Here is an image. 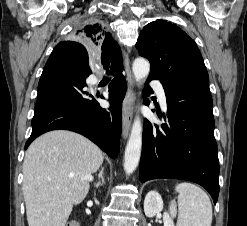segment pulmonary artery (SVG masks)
I'll use <instances>...</instances> for the list:
<instances>
[{
    "mask_svg": "<svg viewBox=\"0 0 247 226\" xmlns=\"http://www.w3.org/2000/svg\"><path fill=\"white\" fill-rule=\"evenodd\" d=\"M151 86L155 89L158 99L160 101V104L162 108L165 110L167 108V102H166V96H165L163 86L158 81H153L151 83Z\"/></svg>",
    "mask_w": 247,
    "mask_h": 226,
    "instance_id": "1",
    "label": "pulmonary artery"
}]
</instances>
